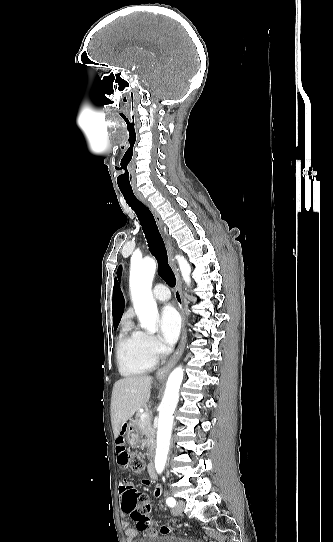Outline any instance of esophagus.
<instances>
[{
	"instance_id": "esophagus-1",
	"label": "esophagus",
	"mask_w": 333,
	"mask_h": 542,
	"mask_svg": "<svg viewBox=\"0 0 333 542\" xmlns=\"http://www.w3.org/2000/svg\"><path fill=\"white\" fill-rule=\"evenodd\" d=\"M135 194L139 198V200H141V202H143L150 209L152 214L154 215V218H155L156 223H157V225L159 227V230H160V232H161V234H162V236L164 238L166 248H167V253H168V260H169V263H170V265H171V267L173 269V272H174L175 278H176L175 300L177 302L179 312H180V314L182 315V318H183V329H182V334H181L179 344H178L174 354L172 355V357L166 362L165 365H163V367L158 369L157 372H156V379L158 381H162L168 376L170 370L180 360V358H181V356H182V354L184 352V348H185V344H186L187 331L185 329V318L186 317H185V311H184V306H183L182 282H181L178 270H177V268L175 266V263H174V260H173V248H172V245H171V240H170V237H168V235L166 233V230L164 228V224L162 222V219H161L159 213L153 207V205L146 198L143 197V195L140 192H135Z\"/></svg>"
}]
</instances>
